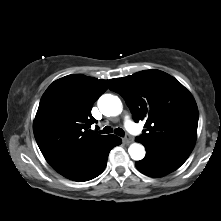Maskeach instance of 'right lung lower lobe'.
Masks as SVG:
<instances>
[{
    "mask_svg": "<svg viewBox=\"0 0 221 221\" xmlns=\"http://www.w3.org/2000/svg\"><path fill=\"white\" fill-rule=\"evenodd\" d=\"M121 141V138L109 135L105 141L84 156L53 168L64 177L74 181L91 180L104 171L110 150L120 145Z\"/></svg>",
    "mask_w": 221,
    "mask_h": 221,
    "instance_id": "1",
    "label": "right lung lower lobe"
}]
</instances>
